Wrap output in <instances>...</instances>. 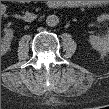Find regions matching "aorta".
Instances as JSON below:
<instances>
[{
    "mask_svg": "<svg viewBox=\"0 0 109 109\" xmlns=\"http://www.w3.org/2000/svg\"><path fill=\"white\" fill-rule=\"evenodd\" d=\"M59 23V18L56 15H49L46 18V24L50 27H55Z\"/></svg>",
    "mask_w": 109,
    "mask_h": 109,
    "instance_id": "1",
    "label": "aorta"
}]
</instances>
